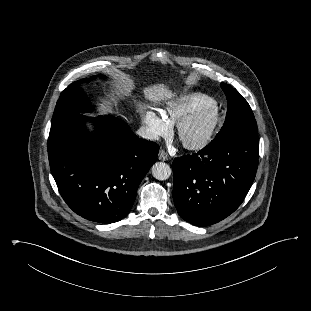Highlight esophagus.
I'll use <instances>...</instances> for the list:
<instances>
[{"mask_svg":"<svg viewBox=\"0 0 311 311\" xmlns=\"http://www.w3.org/2000/svg\"><path fill=\"white\" fill-rule=\"evenodd\" d=\"M158 158L162 161H167L169 160V155L166 153V151L160 150L158 154Z\"/></svg>","mask_w":311,"mask_h":311,"instance_id":"34e87169","label":"esophagus"}]
</instances>
